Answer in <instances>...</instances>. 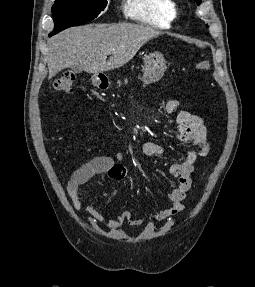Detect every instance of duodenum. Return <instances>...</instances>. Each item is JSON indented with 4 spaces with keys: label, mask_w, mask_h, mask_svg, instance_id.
<instances>
[{
    "label": "duodenum",
    "mask_w": 255,
    "mask_h": 287,
    "mask_svg": "<svg viewBox=\"0 0 255 287\" xmlns=\"http://www.w3.org/2000/svg\"><path fill=\"white\" fill-rule=\"evenodd\" d=\"M96 86L100 89H106L108 87V82L107 81H104V80H101V79H98L96 81Z\"/></svg>",
    "instance_id": "obj_1"
}]
</instances>
